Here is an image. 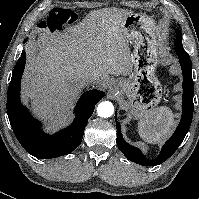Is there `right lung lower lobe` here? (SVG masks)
Returning <instances> with one entry per match:
<instances>
[{"label": "right lung lower lobe", "mask_w": 199, "mask_h": 199, "mask_svg": "<svg viewBox=\"0 0 199 199\" xmlns=\"http://www.w3.org/2000/svg\"><path fill=\"white\" fill-rule=\"evenodd\" d=\"M25 63L26 53L22 51L7 93V114L13 132L23 148L34 157L49 159L66 155L80 145L87 121L95 105L104 97V92L95 89L85 92L74 109L76 117L72 125L53 135L46 134L41 129V123L20 102V84Z\"/></svg>", "instance_id": "98d812e1"}]
</instances>
